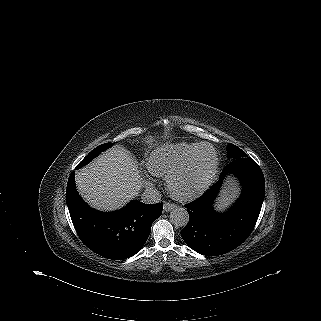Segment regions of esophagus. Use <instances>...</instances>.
Listing matches in <instances>:
<instances>
[{"label":"esophagus","mask_w":321,"mask_h":321,"mask_svg":"<svg viewBox=\"0 0 321 321\" xmlns=\"http://www.w3.org/2000/svg\"><path fill=\"white\" fill-rule=\"evenodd\" d=\"M176 207H177L176 204H173V203H165V204H164V211L168 212V211L173 210V209L176 208Z\"/></svg>","instance_id":"esophagus-1"}]
</instances>
